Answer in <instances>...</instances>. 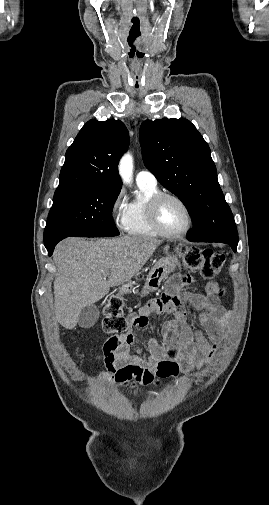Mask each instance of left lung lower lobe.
<instances>
[{
	"instance_id": "1",
	"label": "left lung lower lobe",
	"mask_w": 269,
	"mask_h": 505,
	"mask_svg": "<svg viewBox=\"0 0 269 505\" xmlns=\"http://www.w3.org/2000/svg\"><path fill=\"white\" fill-rule=\"evenodd\" d=\"M188 240H189V239H188ZM190 241H191V240H190ZM194 242H196V241H194ZM227 244H228V245H230V246L232 247V249H233V251H234V252H236V250H237V244H231V243H227Z\"/></svg>"
}]
</instances>
